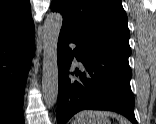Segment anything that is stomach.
<instances>
[{"label": "stomach", "instance_id": "obj_1", "mask_svg": "<svg viewBox=\"0 0 156 124\" xmlns=\"http://www.w3.org/2000/svg\"><path fill=\"white\" fill-rule=\"evenodd\" d=\"M80 124H110V121L106 119L105 117H99V118H94L91 120L83 121Z\"/></svg>", "mask_w": 156, "mask_h": 124}]
</instances>
